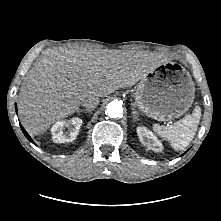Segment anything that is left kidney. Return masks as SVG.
I'll use <instances>...</instances> for the list:
<instances>
[{
	"instance_id": "1",
	"label": "left kidney",
	"mask_w": 221,
	"mask_h": 221,
	"mask_svg": "<svg viewBox=\"0 0 221 221\" xmlns=\"http://www.w3.org/2000/svg\"><path fill=\"white\" fill-rule=\"evenodd\" d=\"M137 134L140 142L155 152H161L163 149L162 143L157 139L154 133L146 127H138Z\"/></svg>"
}]
</instances>
